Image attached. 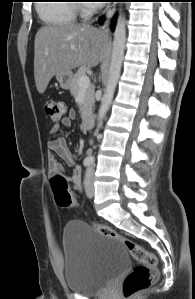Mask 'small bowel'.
<instances>
[{
  "label": "small bowel",
  "mask_w": 195,
  "mask_h": 299,
  "mask_svg": "<svg viewBox=\"0 0 195 299\" xmlns=\"http://www.w3.org/2000/svg\"><path fill=\"white\" fill-rule=\"evenodd\" d=\"M74 118V113L71 112L67 117H64L60 123H56L51 128V133L55 134L59 131L60 126L69 128L72 125ZM48 149L51 153H55L60 156L67 166L73 167L74 171L70 177V181L73 188L81 191V173L78 167H76L75 159L67 147L66 140L63 136H59L48 143ZM49 168L53 172H59L62 170L61 166L53 159L52 156L49 157Z\"/></svg>",
  "instance_id": "1"
}]
</instances>
